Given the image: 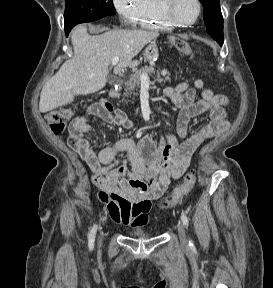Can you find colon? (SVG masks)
Returning a JSON list of instances; mask_svg holds the SVG:
<instances>
[{
    "mask_svg": "<svg viewBox=\"0 0 273 288\" xmlns=\"http://www.w3.org/2000/svg\"><path fill=\"white\" fill-rule=\"evenodd\" d=\"M176 48L184 55L191 56L192 51L188 43L183 40L175 41ZM73 113L70 109L60 108L49 112L46 116L50 129L55 134H61L64 132L68 122L71 120ZM196 184V176L194 173H189L184 177V180L178 185L170 195H168L163 201L164 209H172L182 200L187 197Z\"/></svg>",
    "mask_w": 273,
    "mask_h": 288,
    "instance_id": "obj_1",
    "label": "colon"
}]
</instances>
